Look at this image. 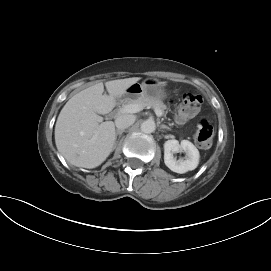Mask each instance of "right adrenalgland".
<instances>
[{
  "instance_id": "1",
  "label": "right adrenal gland",
  "mask_w": 271,
  "mask_h": 271,
  "mask_svg": "<svg viewBox=\"0 0 271 271\" xmlns=\"http://www.w3.org/2000/svg\"><path fill=\"white\" fill-rule=\"evenodd\" d=\"M124 132V130H117L116 131V134H115V138L117 139V136H119V139H120V137H121V135H122V133ZM118 141H116V143H117Z\"/></svg>"
}]
</instances>
